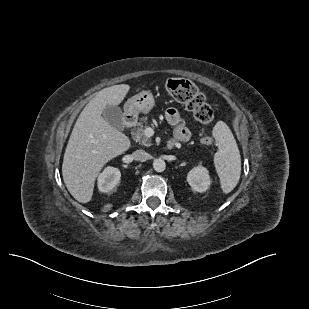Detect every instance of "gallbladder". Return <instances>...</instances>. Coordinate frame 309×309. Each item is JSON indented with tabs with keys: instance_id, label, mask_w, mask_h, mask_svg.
Returning <instances> with one entry per match:
<instances>
[{
	"instance_id": "obj_1",
	"label": "gallbladder",
	"mask_w": 309,
	"mask_h": 309,
	"mask_svg": "<svg viewBox=\"0 0 309 309\" xmlns=\"http://www.w3.org/2000/svg\"><path fill=\"white\" fill-rule=\"evenodd\" d=\"M103 118L114 128L123 130L125 125L123 123V114L118 106L108 105L103 110Z\"/></svg>"
}]
</instances>
